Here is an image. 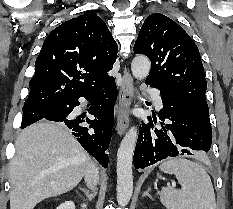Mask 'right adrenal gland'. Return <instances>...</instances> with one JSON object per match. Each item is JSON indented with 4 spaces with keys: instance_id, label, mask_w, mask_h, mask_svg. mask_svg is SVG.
<instances>
[{
    "instance_id": "right-adrenal-gland-1",
    "label": "right adrenal gland",
    "mask_w": 233,
    "mask_h": 209,
    "mask_svg": "<svg viewBox=\"0 0 233 209\" xmlns=\"http://www.w3.org/2000/svg\"><path fill=\"white\" fill-rule=\"evenodd\" d=\"M86 196L87 200L92 201L93 198L96 196V191L92 190V193L89 192V190L85 189V188H79Z\"/></svg>"
}]
</instances>
